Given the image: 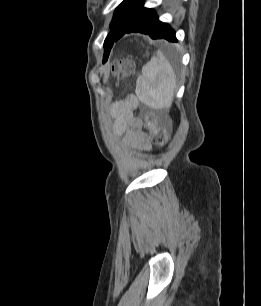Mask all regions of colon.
Returning a JSON list of instances; mask_svg holds the SVG:
<instances>
[{
  "label": "colon",
  "mask_w": 261,
  "mask_h": 306,
  "mask_svg": "<svg viewBox=\"0 0 261 306\" xmlns=\"http://www.w3.org/2000/svg\"><path fill=\"white\" fill-rule=\"evenodd\" d=\"M131 70H132V65L129 62L120 63L119 71L121 73L127 74L130 73ZM153 140L158 144H162L165 140V131L156 129L154 131Z\"/></svg>",
  "instance_id": "colon-1"
}]
</instances>
